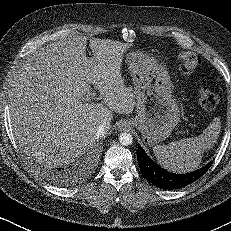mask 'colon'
Instances as JSON below:
<instances>
[{"mask_svg": "<svg viewBox=\"0 0 231 231\" xmlns=\"http://www.w3.org/2000/svg\"><path fill=\"white\" fill-rule=\"evenodd\" d=\"M179 71L189 74L200 65V57L193 52H181L177 56ZM198 102L205 110H212L218 103L217 94L209 87H200L198 90Z\"/></svg>", "mask_w": 231, "mask_h": 231, "instance_id": "obj_1", "label": "colon"}]
</instances>
